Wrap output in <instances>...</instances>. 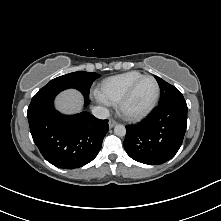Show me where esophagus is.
I'll list each match as a JSON object with an SVG mask.
<instances>
[{
    "instance_id": "esophagus-1",
    "label": "esophagus",
    "mask_w": 221,
    "mask_h": 221,
    "mask_svg": "<svg viewBox=\"0 0 221 221\" xmlns=\"http://www.w3.org/2000/svg\"><path fill=\"white\" fill-rule=\"evenodd\" d=\"M108 124H109V127L112 128L117 124V122L114 119H110Z\"/></svg>"
}]
</instances>
